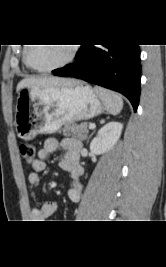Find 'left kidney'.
<instances>
[{
    "label": "left kidney",
    "mask_w": 166,
    "mask_h": 267,
    "mask_svg": "<svg viewBox=\"0 0 166 267\" xmlns=\"http://www.w3.org/2000/svg\"><path fill=\"white\" fill-rule=\"evenodd\" d=\"M123 125L109 122L103 126L90 143V150L95 154H103L114 147L121 136Z\"/></svg>",
    "instance_id": "left-kidney-1"
}]
</instances>
